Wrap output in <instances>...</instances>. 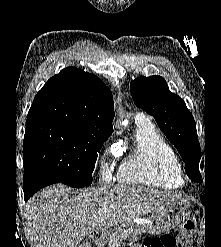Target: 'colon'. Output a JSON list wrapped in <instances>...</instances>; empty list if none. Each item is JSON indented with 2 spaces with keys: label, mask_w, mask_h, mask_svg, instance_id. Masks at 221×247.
<instances>
[{
  "label": "colon",
  "mask_w": 221,
  "mask_h": 247,
  "mask_svg": "<svg viewBox=\"0 0 221 247\" xmlns=\"http://www.w3.org/2000/svg\"><path fill=\"white\" fill-rule=\"evenodd\" d=\"M196 220L193 217L185 219L176 238L168 235L147 238L142 247H192ZM78 247H91L90 242H82Z\"/></svg>",
  "instance_id": "obj_1"
}]
</instances>
